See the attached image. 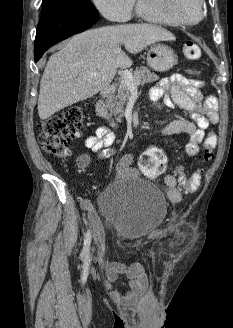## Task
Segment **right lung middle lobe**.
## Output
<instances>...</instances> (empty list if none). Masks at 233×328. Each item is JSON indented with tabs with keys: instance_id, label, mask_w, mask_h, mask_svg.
<instances>
[{
	"instance_id": "right-lung-middle-lobe-1",
	"label": "right lung middle lobe",
	"mask_w": 233,
	"mask_h": 328,
	"mask_svg": "<svg viewBox=\"0 0 233 328\" xmlns=\"http://www.w3.org/2000/svg\"><path fill=\"white\" fill-rule=\"evenodd\" d=\"M42 6L70 7L97 11L90 0H43Z\"/></svg>"
}]
</instances>
